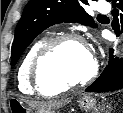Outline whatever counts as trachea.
Segmentation results:
<instances>
[{"label": "trachea", "mask_w": 123, "mask_h": 113, "mask_svg": "<svg viewBox=\"0 0 123 113\" xmlns=\"http://www.w3.org/2000/svg\"><path fill=\"white\" fill-rule=\"evenodd\" d=\"M100 17H102V18H106V16H104V15H101Z\"/></svg>", "instance_id": "trachea-1"}]
</instances>
